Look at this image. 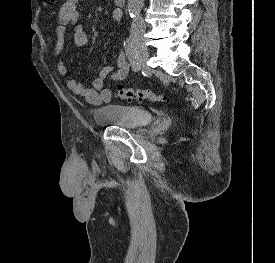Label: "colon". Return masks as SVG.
<instances>
[{
    "label": "colon",
    "mask_w": 275,
    "mask_h": 263,
    "mask_svg": "<svg viewBox=\"0 0 275 263\" xmlns=\"http://www.w3.org/2000/svg\"><path fill=\"white\" fill-rule=\"evenodd\" d=\"M58 0H46L49 4H54ZM117 95L120 99L123 100H148L151 102H165L167 101V97L163 95L156 94L152 90L149 89H139L136 87H118Z\"/></svg>",
    "instance_id": "5ec220e1"
}]
</instances>
